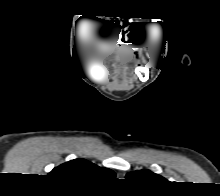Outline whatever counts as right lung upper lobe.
I'll list each match as a JSON object with an SVG mask.
<instances>
[{
    "instance_id": "obj_1",
    "label": "right lung upper lobe",
    "mask_w": 220,
    "mask_h": 196,
    "mask_svg": "<svg viewBox=\"0 0 220 196\" xmlns=\"http://www.w3.org/2000/svg\"><path fill=\"white\" fill-rule=\"evenodd\" d=\"M48 175L86 185L115 177L112 170L99 167L85 159H75L64 163L55 167Z\"/></svg>"
}]
</instances>
